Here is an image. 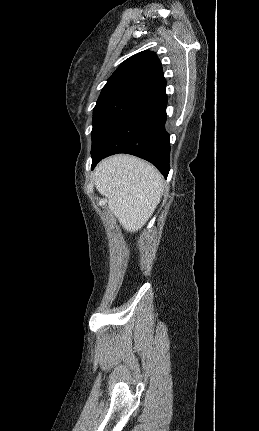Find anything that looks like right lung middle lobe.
<instances>
[{
  "label": "right lung middle lobe",
  "mask_w": 259,
  "mask_h": 431,
  "mask_svg": "<svg viewBox=\"0 0 259 431\" xmlns=\"http://www.w3.org/2000/svg\"><path fill=\"white\" fill-rule=\"evenodd\" d=\"M150 93L152 91L149 88L138 82L102 91L93 110L91 150L126 111Z\"/></svg>",
  "instance_id": "1"
}]
</instances>
